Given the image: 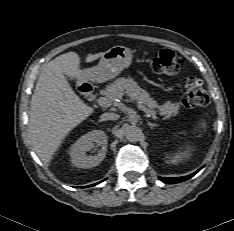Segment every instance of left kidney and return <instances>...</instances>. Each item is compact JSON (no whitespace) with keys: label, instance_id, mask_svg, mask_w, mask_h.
<instances>
[{"label":"left kidney","instance_id":"left-kidney-1","mask_svg":"<svg viewBox=\"0 0 234 231\" xmlns=\"http://www.w3.org/2000/svg\"><path fill=\"white\" fill-rule=\"evenodd\" d=\"M190 151H191V148L188 147L187 148V151H184V152H179V153H175L173 156H166L165 157V162L166 163H172V164H177L178 162L182 161L183 159L185 158H188L190 156Z\"/></svg>","mask_w":234,"mask_h":231}]
</instances>
